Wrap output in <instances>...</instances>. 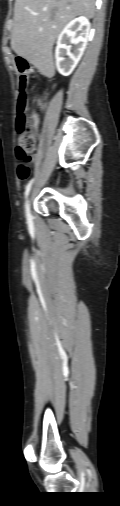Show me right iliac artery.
<instances>
[{
  "mask_svg": "<svg viewBox=\"0 0 120 506\" xmlns=\"http://www.w3.org/2000/svg\"><path fill=\"white\" fill-rule=\"evenodd\" d=\"M32 182H33V179H31V180L29 181V183L26 185V188H25V198H27V196H28V194H29V192H30Z\"/></svg>",
  "mask_w": 120,
  "mask_h": 506,
  "instance_id": "82829eb1",
  "label": "right iliac artery"
}]
</instances>
